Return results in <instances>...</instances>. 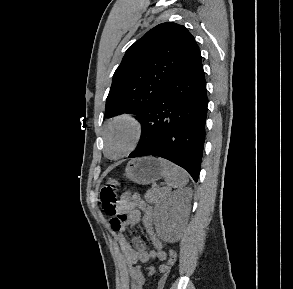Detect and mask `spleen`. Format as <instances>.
Here are the masks:
<instances>
[{"label":"spleen","mask_w":293,"mask_h":289,"mask_svg":"<svg viewBox=\"0 0 293 289\" xmlns=\"http://www.w3.org/2000/svg\"><path fill=\"white\" fill-rule=\"evenodd\" d=\"M158 160L163 169L164 180L169 187L182 188L187 185L188 175L182 168L163 158Z\"/></svg>","instance_id":"spleen-1"}]
</instances>
